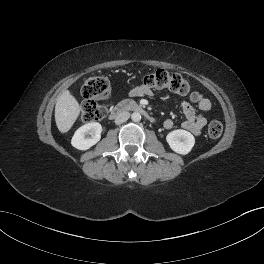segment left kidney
I'll return each mask as SVG.
<instances>
[{
  "mask_svg": "<svg viewBox=\"0 0 264 264\" xmlns=\"http://www.w3.org/2000/svg\"><path fill=\"white\" fill-rule=\"evenodd\" d=\"M166 141L174 152L182 155L188 154L195 144L194 136L182 129L171 131L166 136Z\"/></svg>",
  "mask_w": 264,
  "mask_h": 264,
  "instance_id": "left-kidney-1",
  "label": "left kidney"
}]
</instances>
